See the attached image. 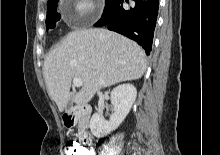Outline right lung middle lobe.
<instances>
[{"mask_svg":"<svg viewBox=\"0 0 220 155\" xmlns=\"http://www.w3.org/2000/svg\"><path fill=\"white\" fill-rule=\"evenodd\" d=\"M112 0H106V6L109 5ZM58 0H54L47 4V17H46V29L54 28L57 21L60 20V14L56 11Z\"/></svg>","mask_w":220,"mask_h":155,"instance_id":"dd1d6c3e","label":"right lung middle lobe"}]
</instances>
